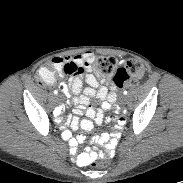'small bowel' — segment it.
Instances as JSON below:
<instances>
[{"mask_svg":"<svg viewBox=\"0 0 183 183\" xmlns=\"http://www.w3.org/2000/svg\"><path fill=\"white\" fill-rule=\"evenodd\" d=\"M96 61V55L92 51H85L75 56L56 57L53 58L46 66H43L40 70L52 68L58 72H61L64 66L71 65L75 70L72 74L68 84L61 83L60 89L67 95L79 94L83 89V81L86 82L87 87L83 90V94L76 96L72 99L75 105L73 110L74 115L63 117L65 108L62 105L53 107L52 114L57 117L56 122L63 126H70L71 129L77 130L81 128L84 131H90L93 128V122L101 124L105 122H117L118 127L112 125L109 127L108 134H100L95 132L91 136V142L93 145H104L103 153L108 159H113L116 156L114 146L116 145L121 128L126 126L133 118L130 111L125 108L119 109L115 105L116 92L114 89L109 90L106 85L109 83V79L105 76H96L94 71V64ZM63 74V73H62ZM55 79L49 83L53 84ZM96 97L100 101V106H89L90 100ZM86 112L87 118L79 120L78 115H82ZM104 112L112 117L105 118ZM62 136L68 141L72 150L75 152L78 144L84 141V136L79 135L76 138H72L71 133L68 130H64ZM83 154H78L75 157L76 164L85 166L88 163V159L95 157V149L93 146L88 145L85 147Z\"/></svg>","mask_w":183,"mask_h":183,"instance_id":"small-bowel-1","label":"small bowel"}]
</instances>
